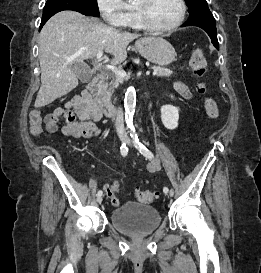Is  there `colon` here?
<instances>
[{
  "label": "colon",
  "mask_w": 261,
  "mask_h": 273,
  "mask_svg": "<svg viewBox=\"0 0 261 273\" xmlns=\"http://www.w3.org/2000/svg\"><path fill=\"white\" fill-rule=\"evenodd\" d=\"M206 66L207 62L204 51L199 47H195L191 52L190 67L196 78L201 79L204 76ZM196 89L200 95H205L206 84L203 81H199ZM204 107L207 115L211 119H217L219 117L218 104L214 99L211 97H205ZM29 119L32 132L36 135H40L42 133L43 126V118L41 113L37 110H33L30 113ZM135 195L140 202L149 204L158 198L159 193L156 190H136Z\"/></svg>",
  "instance_id": "5ec220e1"
}]
</instances>
